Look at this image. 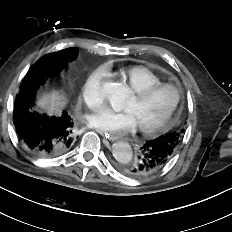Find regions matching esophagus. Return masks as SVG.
<instances>
[{"instance_id": "esophagus-1", "label": "esophagus", "mask_w": 232, "mask_h": 232, "mask_svg": "<svg viewBox=\"0 0 232 232\" xmlns=\"http://www.w3.org/2000/svg\"><path fill=\"white\" fill-rule=\"evenodd\" d=\"M95 131L97 133H99L100 135H102L105 139L110 140V141H115L117 139V137L111 135L110 133L104 132L102 130L99 129H95Z\"/></svg>"}]
</instances>
